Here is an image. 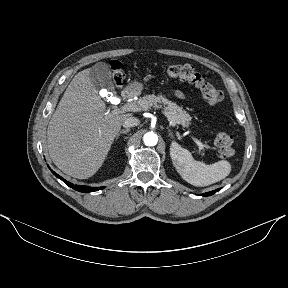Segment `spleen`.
I'll return each instance as SVG.
<instances>
[{
    "mask_svg": "<svg viewBox=\"0 0 288 288\" xmlns=\"http://www.w3.org/2000/svg\"><path fill=\"white\" fill-rule=\"evenodd\" d=\"M170 156L178 173L191 185L208 186L226 178L231 172V165L226 160L211 165L193 159L191 153L176 142L170 146Z\"/></svg>",
    "mask_w": 288,
    "mask_h": 288,
    "instance_id": "3e777b00",
    "label": "spleen"
}]
</instances>
